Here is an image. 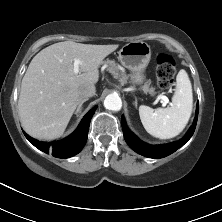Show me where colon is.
Segmentation results:
<instances>
[{"mask_svg": "<svg viewBox=\"0 0 222 222\" xmlns=\"http://www.w3.org/2000/svg\"><path fill=\"white\" fill-rule=\"evenodd\" d=\"M176 61L167 54H160L157 57L156 76L157 83L161 89L171 88L176 74Z\"/></svg>", "mask_w": 222, "mask_h": 222, "instance_id": "colon-1", "label": "colon"}]
</instances>
